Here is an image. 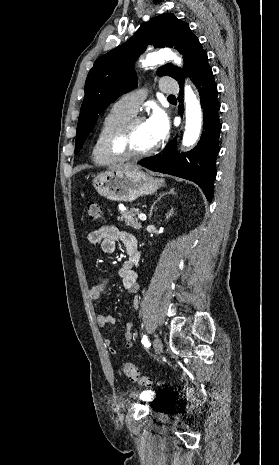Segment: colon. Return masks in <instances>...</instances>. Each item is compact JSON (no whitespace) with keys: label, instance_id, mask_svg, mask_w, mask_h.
<instances>
[{"label":"colon","instance_id":"obj_1","mask_svg":"<svg viewBox=\"0 0 279 465\" xmlns=\"http://www.w3.org/2000/svg\"><path fill=\"white\" fill-rule=\"evenodd\" d=\"M88 216L90 220L97 221L101 217V208L95 202H90L87 205ZM124 375L132 382L137 383L140 386L150 387L154 384L150 377L141 374L139 369L132 363L126 362L122 366ZM161 384V382H160Z\"/></svg>","mask_w":279,"mask_h":465}]
</instances>
